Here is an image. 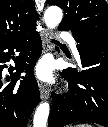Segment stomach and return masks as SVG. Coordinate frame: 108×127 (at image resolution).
<instances>
[{
  "label": "stomach",
  "mask_w": 108,
  "mask_h": 127,
  "mask_svg": "<svg viewBox=\"0 0 108 127\" xmlns=\"http://www.w3.org/2000/svg\"><path fill=\"white\" fill-rule=\"evenodd\" d=\"M68 127H75V126H68ZM76 127H78V126H76Z\"/></svg>",
  "instance_id": "obj_1"
}]
</instances>
